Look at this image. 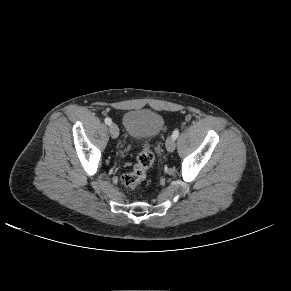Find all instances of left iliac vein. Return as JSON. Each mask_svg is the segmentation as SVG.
Masks as SVG:
<instances>
[{
	"label": "left iliac vein",
	"instance_id": "1",
	"mask_svg": "<svg viewBox=\"0 0 291 291\" xmlns=\"http://www.w3.org/2000/svg\"><path fill=\"white\" fill-rule=\"evenodd\" d=\"M165 145L168 152H173L176 147L175 139L173 137H168Z\"/></svg>",
	"mask_w": 291,
	"mask_h": 291
}]
</instances>
